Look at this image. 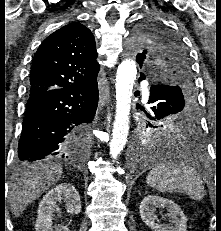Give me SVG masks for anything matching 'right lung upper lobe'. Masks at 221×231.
I'll use <instances>...</instances> for the list:
<instances>
[{
    "instance_id": "right-lung-upper-lobe-1",
    "label": "right lung upper lobe",
    "mask_w": 221,
    "mask_h": 231,
    "mask_svg": "<svg viewBox=\"0 0 221 231\" xmlns=\"http://www.w3.org/2000/svg\"><path fill=\"white\" fill-rule=\"evenodd\" d=\"M92 32L72 22L49 35L37 50L30 71L29 96L97 80L99 64Z\"/></svg>"
}]
</instances>
